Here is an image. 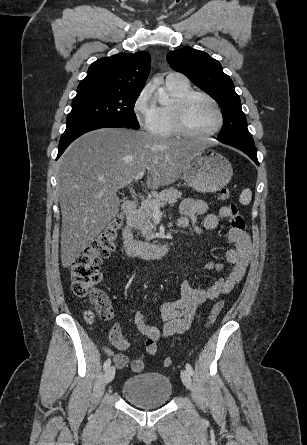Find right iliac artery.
<instances>
[{"mask_svg": "<svg viewBox=\"0 0 307 445\" xmlns=\"http://www.w3.org/2000/svg\"><path fill=\"white\" fill-rule=\"evenodd\" d=\"M110 364H111V360L107 359L103 365L104 370H107L109 368Z\"/></svg>", "mask_w": 307, "mask_h": 445, "instance_id": "right-iliac-artery-1", "label": "right iliac artery"}]
</instances>
